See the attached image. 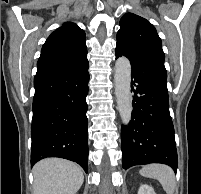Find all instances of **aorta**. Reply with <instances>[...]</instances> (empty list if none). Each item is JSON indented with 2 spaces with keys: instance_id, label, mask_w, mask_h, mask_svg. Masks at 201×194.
I'll return each instance as SVG.
<instances>
[{
  "instance_id": "762f6f07",
  "label": "aorta",
  "mask_w": 201,
  "mask_h": 194,
  "mask_svg": "<svg viewBox=\"0 0 201 194\" xmlns=\"http://www.w3.org/2000/svg\"><path fill=\"white\" fill-rule=\"evenodd\" d=\"M114 81L118 111L123 124L128 125L132 115L131 64L126 57H120L116 60Z\"/></svg>"
}]
</instances>
